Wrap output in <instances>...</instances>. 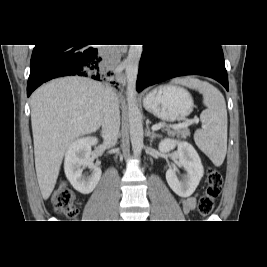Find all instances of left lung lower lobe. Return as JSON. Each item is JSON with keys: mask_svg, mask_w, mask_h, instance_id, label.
<instances>
[{"mask_svg": "<svg viewBox=\"0 0 267 267\" xmlns=\"http://www.w3.org/2000/svg\"><path fill=\"white\" fill-rule=\"evenodd\" d=\"M184 75L211 77L228 90L221 45H144L137 79L138 92L150 85Z\"/></svg>", "mask_w": 267, "mask_h": 267, "instance_id": "0a47b994", "label": "left lung lower lobe"}]
</instances>
